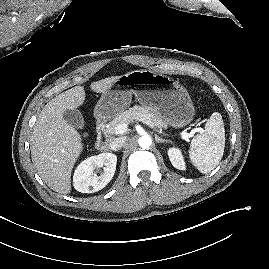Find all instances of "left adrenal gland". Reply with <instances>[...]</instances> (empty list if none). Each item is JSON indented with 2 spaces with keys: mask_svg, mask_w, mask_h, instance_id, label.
Here are the masks:
<instances>
[{
  "mask_svg": "<svg viewBox=\"0 0 269 269\" xmlns=\"http://www.w3.org/2000/svg\"><path fill=\"white\" fill-rule=\"evenodd\" d=\"M155 141L157 143H168L169 141L168 140H165V139H162L160 138L159 136L155 135Z\"/></svg>",
  "mask_w": 269,
  "mask_h": 269,
  "instance_id": "1",
  "label": "left adrenal gland"
}]
</instances>
